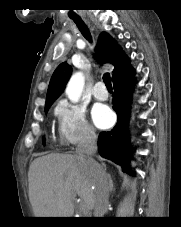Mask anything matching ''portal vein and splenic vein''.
<instances>
[{
  "mask_svg": "<svg viewBox=\"0 0 181 227\" xmlns=\"http://www.w3.org/2000/svg\"><path fill=\"white\" fill-rule=\"evenodd\" d=\"M81 209L85 211L86 205L82 204V205H81Z\"/></svg>",
  "mask_w": 181,
  "mask_h": 227,
  "instance_id": "18ae733b",
  "label": "portal vein and splenic vein"
}]
</instances>
